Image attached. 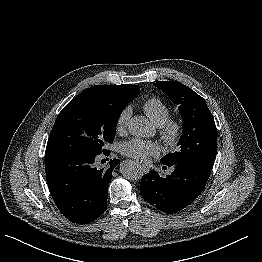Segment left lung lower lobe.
I'll use <instances>...</instances> for the list:
<instances>
[{
	"label": "left lung lower lobe",
	"mask_w": 262,
	"mask_h": 262,
	"mask_svg": "<svg viewBox=\"0 0 262 262\" xmlns=\"http://www.w3.org/2000/svg\"><path fill=\"white\" fill-rule=\"evenodd\" d=\"M211 169L196 165H179L174 166L172 174L165 178L151 170L141 178V196L165 213L178 212L201 194Z\"/></svg>",
	"instance_id": "0a47b994"
}]
</instances>
